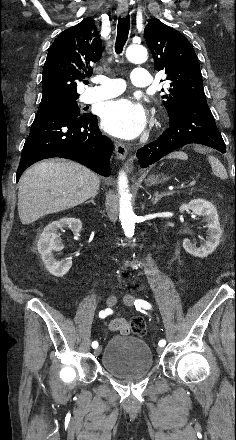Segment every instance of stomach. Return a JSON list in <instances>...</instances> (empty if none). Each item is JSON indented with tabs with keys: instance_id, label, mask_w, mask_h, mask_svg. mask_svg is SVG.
Here are the masks:
<instances>
[{
	"instance_id": "stomach-1",
	"label": "stomach",
	"mask_w": 236,
	"mask_h": 440,
	"mask_svg": "<svg viewBox=\"0 0 236 440\" xmlns=\"http://www.w3.org/2000/svg\"><path fill=\"white\" fill-rule=\"evenodd\" d=\"M180 156H183V155L180 154ZM167 179H168V177H164V176H163L161 179H159V176L151 175V176H149L148 179L146 180V184H147L148 186H152V185H155V184H158V183H162V182L166 181Z\"/></svg>"
}]
</instances>
